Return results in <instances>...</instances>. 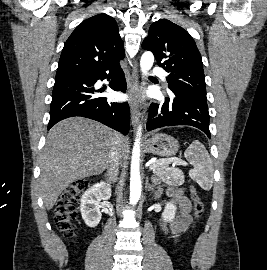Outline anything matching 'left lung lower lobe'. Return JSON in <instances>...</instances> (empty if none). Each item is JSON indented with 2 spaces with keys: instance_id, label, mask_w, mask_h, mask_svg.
Segmentation results:
<instances>
[{
  "instance_id": "1",
  "label": "left lung lower lobe",
  "mask_w": 267,
  "mask_h": 270,
  "mask_svg": "<svg viewBox=\"0 0 267 270\" xmlns=\"http://www.w3.org/2000/svg\"><path fill=\"white\" fill-rule=\"evenodd\" d=\"M175 125L196 127L210 138L207 101L186 94L174 93V97H166L163 103L151 104L147 131Z\"/></svg>"
}]
</instances>
